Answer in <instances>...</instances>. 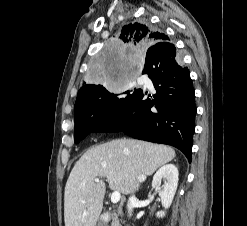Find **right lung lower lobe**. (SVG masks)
<instances>
[{
	"label": "right lung lower lobe",
	"mask_w": 247,
	"mask_h": 226,
	"mask_svg": "<svg viewBox=\"0 0 247 226\" xmlns=\"http://www.w3.org/2000/svg\"><path fill=\"white\" fill-rule=\"evenodd\" d=\"M142 74L153 81L156 94L128 93L124 102L96 127L95 132H124L146 141L172 145L191 162L195 130V94L187 67L169 42L150 46Z\"/></svg>",
	"instance_id": "98d812e1"
}]
</instances>
